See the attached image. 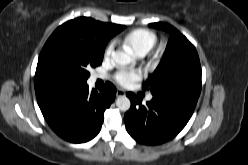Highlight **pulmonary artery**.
Listing matches in <instances>:
<instances>
[{
  "label": "pulmonary artery",
  "mask_w": 248,
  "mask_h": 165,
  "mask_svg": "<svg viewBox=\"0 0 248 165\" xmlns=\"http://www.w3.org/2000/svg\"><path fill=\"white\" fill-rule=\"evenodd\" d=\"M143 55H145V54H141L140 56H143ZM97 77H101V76H97ZM151 99H152V95H149V96L147 97V100L150 101Z\"/></svg>",
  "instance_id": "obj_1"
}]
</instances>
